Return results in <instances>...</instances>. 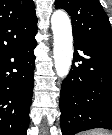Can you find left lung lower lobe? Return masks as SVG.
Returning a JSON list of instances; mask_svg holds the SVG:
<instances>
[{
    "mask_svg": "<svg viewBox=\"0 0 112 135\" xmlns=\"http://www.w3.org/2000/svg\"><path fill=\"white\" fill-rule=\"evenodd\" d=\"M73 56L61 87L62 135L112 129V45L74 39Z\"/></svg>",
    "mask_w": 112,
    "mask_h": 135,
    "instance_id": "obj_1",
    "label": "left lung lower lobe"
}]
</instances>
